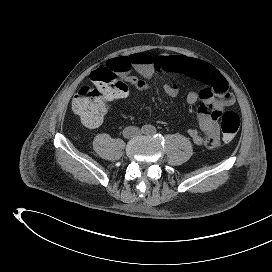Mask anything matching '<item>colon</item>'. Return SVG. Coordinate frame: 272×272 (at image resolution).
Masks as SVG:
<instances>
[{
  "instance_id": "obj_1",
  "label": "colon",
  "mask_w": 272,
  "mask_h": 272,
  "mask_svg": "<svg viewBox=\"0 0 272 272\" xmlns=\"http://www.w3.org/2000/svg\"><path fill=\"white\" fill-rule=\"evenodd\" d=\"M90 86L81 87L72 100V109L82 122L90 128L98 127L111 101L126 97L128 87L113 67L101 66L91 72ZM213 119H220L225 141H231L240 128V117L237 113L211 111Z\"/></svg>"
}]
</instances>
